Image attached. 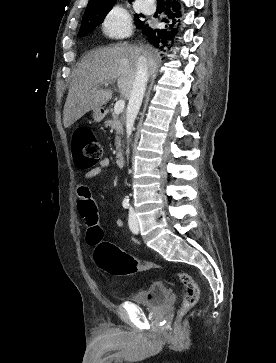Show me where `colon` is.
Instances as JSON below:
<instances>
[{
	"mask_svg": "<svg viewBox=\"0 0 276 363\" xmlns=\"http://www.w3.org/2000/svg\"><path fill=\"white\" fill-rule=\"evenodd\" d=\"M72 151L76 163L80 168H88L96 165L102 159V147L94 134L88 128H79L74 132ZM87 242L95 247L94 261L96 264L113 275H128L137 269L159 268L125 253L111 242L103 240V231L97 224V217H93ZM179 282L183 288V301L179 309V315L187 314L199 299V286L188 273H178Z\"/></svg>",
	"mask_w": 276,
	"mask_h": 363,
	"instance_id": "5ec220e1",
	"label": "colon"
}]
</instances>
